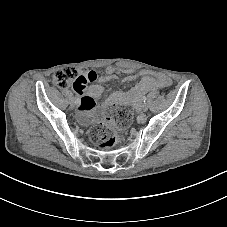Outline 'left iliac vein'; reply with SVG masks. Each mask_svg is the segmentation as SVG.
<instances>
[{"mask_svg": "<svg viewBox=\"0 0 227 227\" xmlns=\"http://www.w3.org/2000/svg\"><path fill=\"white\" fill-rule=\"evenodd\" d=\"M142 110H143L144 112H146V111L148 110V104H147V103H144V104L142 105Z\"/></svg>", "mask_w": 227, "mask_h": 227, "instance_id": "obj_1", "label": "left iliac vein"}]
</instances>
